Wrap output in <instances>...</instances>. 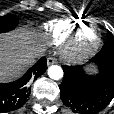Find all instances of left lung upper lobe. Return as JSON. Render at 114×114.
<instances>
[{
    "label": "left lung upper lobe",
    "instance_id": "5c2ea615",
    "mask_svg": "<svg viewBox=\"0 0 114 114\" xmlns=\"http://www.w3.org/2000/svg\"><path fill=\"white\" fill-rule=\"evenodd\" d=\"M101 50L114 52V36L110 31L107 32L106 43Z\"/></svg>",
    "mask_w": 114,
    "mask_h": 114
}]
</instances>
